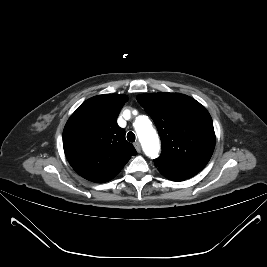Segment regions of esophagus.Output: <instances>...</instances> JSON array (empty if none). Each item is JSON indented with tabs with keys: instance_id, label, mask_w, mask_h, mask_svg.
Returning <instances> with one entry per match:
<instances>
[{
	"instance_id": "34e87169",
	"label": "esophagus",
	"mask_w": 267,
	"mask_h": 267,
	"mask_svg": "<svg viewBox=\"0 0 267 267\" xmlns=\"http://www.w3.org/2000/svg\"><path fill=\"white\" fill-rule=\"evenodd\" d=\"M134 147H135V149H136V151H137L138 153L141 152V146H140V143H139V142H135V143H134Z\"/></svg>"
}]
</instances>
